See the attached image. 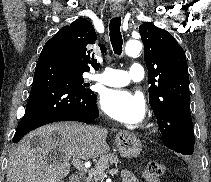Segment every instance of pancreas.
Listing matches in <instances>:
<instances>
[{
  "mask_svg": "<svg viewBox=\"0 0 211 182\" xmlns=\"http://www.w3.org/2000/svg\"><path fill=\"white\" fill-rule=\"evenodd\" d=\"M119 162L118 157L114 153H107L100 157L96 166L89 172L83 182H101L104 178V171L111 165Z\"/></svg>",
  "mask_w": 211,
  "mask_h": 182,
  "instance_id": "1",
  "label": "pancreas"
}]
</instances>
